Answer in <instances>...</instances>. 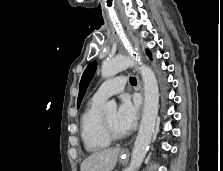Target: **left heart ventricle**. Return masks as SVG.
<instances>
[{"mask_svg":"<svg viewBox=\"0 0 223 171\" xmlns=\"http://www.w3.org/2000/svg\"><path fill=\"white\" fill-rule=\"evenodd\" d=\"M109 127L111 128V130L115 133V134H124L119 127L116 124V112L115 111H111L109 113H106L104 115Z\"/></svg>","mask_w":223,"mask_h":171,"instance_id":"b2bd125f","label":"left heart ventricle"}]
</instances>
